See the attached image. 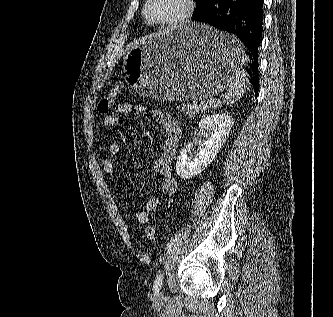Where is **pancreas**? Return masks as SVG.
Returning a JSON list of instances; mask_svg holds the SVG:
<instances>
[{"mask_svg":"<svg viewBox=\"0 0 333 317\" xmlns=\"http://www.w3.org/2000/svg\"><path fill=\"white\" fill-rule=\"evenodd\" d=\"M215 102L214 101H208L205 103H202L200 105H197L196 103H188V104H182L180 110L190 117H195L196 114L199 112H204L210 109L215 108Z\"/></svg>","mask_w":333,"mask_h":317,"instance_id":"cf45deb5","label":"pancreas"}]
</instances>
